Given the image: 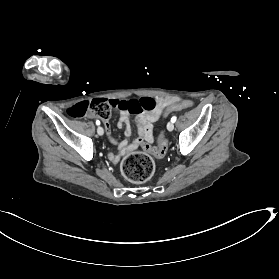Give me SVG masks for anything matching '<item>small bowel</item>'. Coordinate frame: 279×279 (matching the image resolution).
Instances as JSON below:
<instances>
[{"label":"small bowel","instance_id":"small-bowel-1","mask_svg":"<svg viewBox=\"0 0 279 279\" xmlns=\"http://www.w3.org/2000/svg\"><path fill=\"white\" fill-rule=\"evenodd\" d=\"M174 102L175 100L170 97H158L156 99V107L154 110L139 113L135 118V122L138 128L139 138L132 142H129L128 140L117 141L116 139H114L112 137L111 125L108 121H105V130H106L107 138L110 141V143L115 145L118 149L117 153L109 152L108 158L112 162H117L120 156L123 153H125L128 149L134 148L143 142H148V143L153 142V123L159 119L165 107H167L168 105ZM117 126L120 129L121 128L125 129V135L127 137L131 136L132 129L130 125V115L128 112L125 111L121 112Z\"/></svg>","mask_w":279,"mask_h":279}]
</instances>
